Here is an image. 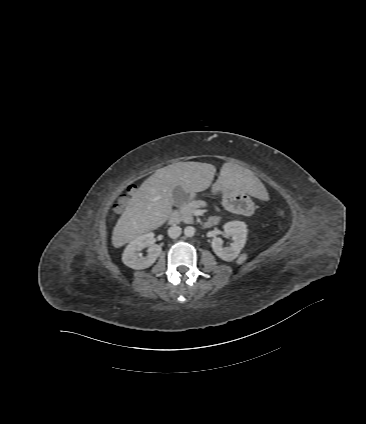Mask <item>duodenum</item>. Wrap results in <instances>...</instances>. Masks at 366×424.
Instances as JSON below:
<instances>
[{
	"label": "duodenum",
	"mask_w": 366,
	"mask_h": 424,
	"mask_svg": "<svg viewBox=\"0 0 366 424\" xmlns=\"http://www.w3.org/2000/svg\"><path fill=\"white\" fill-rule=\"evenodd\" d=\"M213 225V223L211 222V221H208L207 223H206V226L207 227H210V226H212Z\"/></svg>",
	"instance_id": "410a0bca"
}]
</instances>
